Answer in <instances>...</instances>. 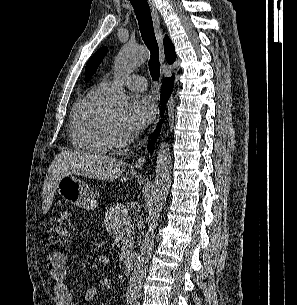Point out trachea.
<instances>
[{
    "mask_svg": "<svg viewBox=\"0 0 297 305\" xmlns=\"http://www.w3.org/2000/svg\"><path fill=\"white\" fill-rule=\"evenodd\" d=\"M136 14L144 43L151 55L148 62L150 75L153 80L160 77L159 48L156 41L150 7L147 0H130Z\"/></svg>",
    "mask_w": 297,
    "mask_h": 305,
    "instance_id": "1",
    "label": "trachea"
}]
</instances>
